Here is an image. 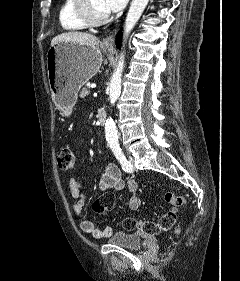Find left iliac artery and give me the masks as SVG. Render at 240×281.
Wrapping results in <instances>:
<instances>
[{"label":"left iliac artery","instance_id":"1","mask_svg":"<svg viewBox=\"0 0 240 281\" xmlns=\"http://www.w3.org/2000/svg\"><path fill=\"white\" fill-rule=\"evenodd\" d=\"M110 148L112 149L114 155L116 156L117 160L120 162L122 169L125 172H133V168L131 163L126 159L124 153L122 152V149L120 148L118 143H112L110 145Z\"/></svg>","mask_w":240,"mask_h":281}]
</instances>
